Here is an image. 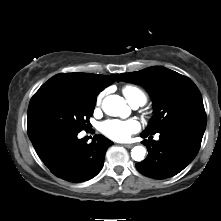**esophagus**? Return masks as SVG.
<instances>
[{
    "mask_svg": "<svg viewBox=\"0 0 221 221\" xmlns=\"http://www.w3.org/2000/svg\"><path fill=\"white\" fill-rule=\"evenodd\" d=\"M123 146L126 148H132L134 145L133 144H124Z\"/></svg>",
    "mask_w": 221,
    "mask_h": 221,
    "instance_id": "esophagus-1",
    "label": "esophagus"
}]
</instances>
